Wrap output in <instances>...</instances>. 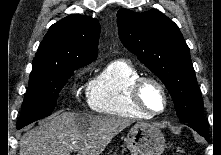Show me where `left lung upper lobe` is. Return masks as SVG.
I'll use <instances>...</instances> for the list:
<instances>
[{
	"mask_svg": "<svg viewBox=\"0 0 221 155\" xmlns=\"http://www.w3.org/2000/svg\"><path fill=\"white\" fill-rule=\"evenodd\" d=\"M119 37L171 94L180 121L205 125L203 101L189 48L178 26L158 10L117 13Z\"/></svg>",
	"mask_w": 221,
	"mask_h": 155,
	"instance_id": "1",
	"label": "left lung upper lobe"
}]
</instances>
